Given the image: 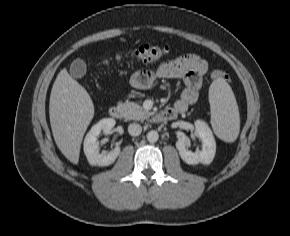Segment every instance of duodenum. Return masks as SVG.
I'll return each instance as SVG.
<instances>
[{
  "label": "duodenum",
  "mask_w": 290,
  "mask_h": 236,
  "mask_svg": "<svg viewBox=\"0 0 290 236\" xmlns=\"http://www.w3.org/2000/svg\"><path fill=\"white\" fill-rule=\"evenodd\" d=\"M185 110H181L178 108H167L159 112L156 116L157 121L159 122H168L177 117L178 114L184 112ZM110 117L114 119H121L123 117L122 109L115 105L110 107L109 109Z\"/></svg>",
  "instance_id": "duodenum-1"
}]
</instances>
